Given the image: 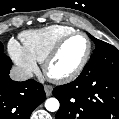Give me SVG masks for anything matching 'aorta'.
Returning a JSON list of instances; mask_svg holds the SVG:
<instances>
[{
    "label": "aorta",
    "instance_id": "aorta-1",
    "mask_svg": "<svg viewBox=\"0 0 119 119\" xmlns=\"http://www.w3.org/2000/svg\"><path fill=\"white\" fill-rule=\"evenodd\" d=\"M59 101L56 98H49L45 102V107L50 112H55L59 109Z\"/></svg>",
    "mask_w": 119,
    "mask_h": 119
}]
</instances>
